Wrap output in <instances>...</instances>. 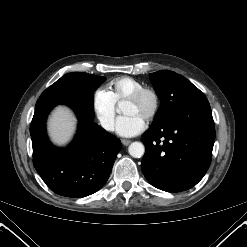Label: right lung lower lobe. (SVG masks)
I'll use <instances>...</instances> for the list:
<instances>
[{"label":"right lung lower lobe","instance_id":"right-lung-lower-lobe-1","mask_svg":"<svg viewBox=\"0 0 247 247\" xmlns=\"http://www.w3.org/2000/svg\"><path fill=\"white\" fill-rule=\"evenodd\" d=\"M57 104L76 113L79 125L73 142L54 147L46 134V118ZM33 164L47 186L66 197H85L108 180L121 141L93 122V98L88 94L42 93L31 122Z\"/></svg>","mask_w":247,"mask_h":247}]
</instances>
